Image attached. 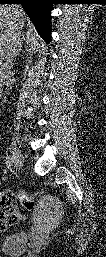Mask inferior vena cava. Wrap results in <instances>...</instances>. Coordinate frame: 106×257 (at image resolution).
<instances>
[{
    "instance_id": "inferior-vena-cava-1",
    "label": "inferior vena cava",
    "mask_w": 106,
    "mask_h": 257,
    "mask_svg": "<svg viewBox=\"0 0 106 257\" xmlns=\"http://www.w3.org/2000/svg\"><path fill=\"white\" fill-rule=\"evenodd\" d=\"M20 41L21 30L16 25L10 28V32L0 48V75L5 80V84L9 89H11V69L13 60Z\"/></svg>"
}]
</instances>
